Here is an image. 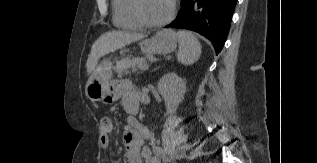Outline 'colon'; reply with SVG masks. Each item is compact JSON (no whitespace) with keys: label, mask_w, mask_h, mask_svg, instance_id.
Listing matches in <instances>:
<instances>
[{"label":"colon","mask_w":317,"mask_h":163,"mask_svg":"<svg viewBox=\"0 0 317 163\" xmlns=\"http://www.w3.org/2000/svg\"><path fill=\"white\" fill-rule=\"evenodd\" d=\"M105 101H106L107 103H111V102L113 101V99H112V97H107V98L105 99Z\"/></svg>","instance_id":"obj_1"}]
</instances>
